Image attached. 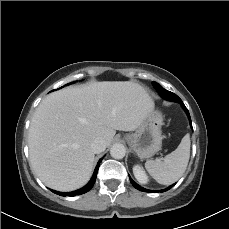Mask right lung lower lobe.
Here are the masks:
<instances>
[{
    "label": "right lung lower lobe",
    "instance_id": "right-lung-lower-lobe-1",
    "mask_svg": "<svg viewBox=\"0 0 229 229\" xmlns=\"http://www.w3.org/2000/svg\"><path fill=\"white\" fill-rule=\"evenodd\" d=\"M100 162H101V160H99V162H98V164H97V166H96V168H95V171H94V173H93V176H92L91 180H90L89 183H88L86 186H84L83 188H81V189H79V190H76V191H73V192H69V193L57 192V191H54V190H51V191L54 192V193H56V194H58V195H60V196L69 195V196H71V197L88 192V191L93 187V185H94V183H95V180H96V176H97V172H98V168H99Z\"/></svg>",
    "mask_w": 229,
    "mask_h": 229
}]
</instances>
